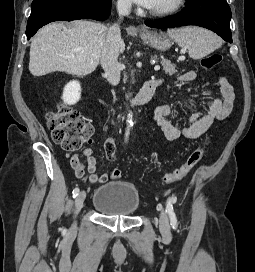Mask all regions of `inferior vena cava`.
Returning <instances> with one entry per match:
<instances>
[{"label": "inferior vena cava", "mask_w": 255, "mask_h": 272, "mask_svg": "<svg viewBox=\"0 0 255 272\" xmlns=\"http://www.w3.org/2000/svg\"><path fill=\"white\" fill-rule=\"evenodd\" d=\"M130 11L129 0H118L117 12L120 18L129 15ZM120 43V27L115 23L108 28L106 43L101 54V66L105 71L106 79L112 85H117L120 81L121 65L118 62Z\"/></svg>", "instance_id": "1"}]
</instances>
